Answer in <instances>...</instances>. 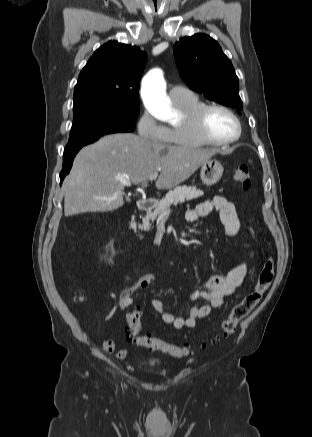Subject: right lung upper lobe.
<instances>
[{
  "label": "right lung upper lobe",
  "mask_w": 312,
  "mask_h": 437,
  "mask_svg": "<svg viewBox=\"0 0 312 437\" xmlns=\"http://www.w3.org/2000/svg\"><path fill=\"white\" fill-rule=\"evenodd\" d=\"M147 61L136 46L109 41L95 51L74 88V107L92 103H139V80Z\"/></svg>",
  "instance_id": "right-lung-upper-lobe-1"
}]
</instances>
